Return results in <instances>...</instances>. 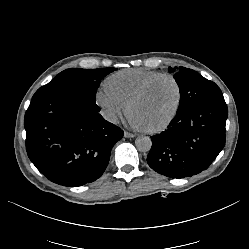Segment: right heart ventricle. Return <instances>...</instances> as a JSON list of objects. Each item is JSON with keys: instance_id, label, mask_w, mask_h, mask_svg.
Wrapping results in <instances>:
<instances>
[{"instance_id": "obj_1", "label": "right heart ventricle", "mask_w": 249, "mask_h": 249, "mask_svg": "<svg viewBox=\"0 0 249 249\" xmlns=\"http://www.w3.org/2000/svg\"><path fill=\"white\" fill-rule=\"evenodd\" d=\"M160 74L162 72L150 69H124L110 74L105 79L104 86L112 94L128 103L145 82Z\"/></svg>"}]
</instances>
